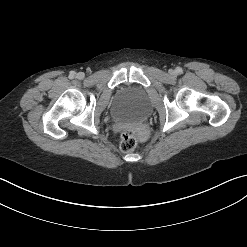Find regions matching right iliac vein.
Segmentation results:
<instances>
[{"mask_svg":"<svg viewBox=\"0 0 247 247\" xmlns=\"http://www.w3.org/2000/svg\"><path fill=\"white\" fill-rule=\"evenodd\" d=\"M77 77L78 78H83L84 77V74L82 72H80V73L77 74Z\"/></svg>","mask_w":247,"mask_h":247,"instance_id":"1","label":"right iliac vein"}]
</instances>
